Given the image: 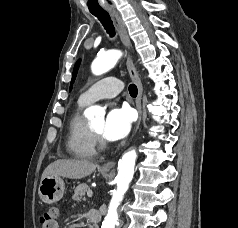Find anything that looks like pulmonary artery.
Masks as SVG:
<instances>
[{"mask_svg": "<svg viewBox=\"0 0 238 228\" xmlns=\"http://www.w3.org/2000/svg\"><path fill=\"white\" fill-rule=\"evenodd\" d=\"M122 90V83L116 77H106L91 85L81 95L80 100L86 104L98 99L116 97Z\"/></svg>", "mask_w": 238, "mask_h": 228, "instance_id": "obj_1", "label": "pulmonary artery"}]
</instances>
